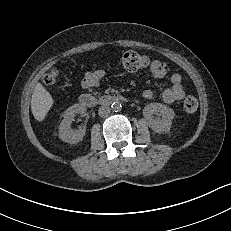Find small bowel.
<instances>
[{"instance_id": "c3829d8e", "label": "small bowel", "mask_w": 231, "mask_h": 231, "mask_svg": "<svg viewBox=\"0 0 231 231\" xmlns=\"http://www.w3.org/2000/svg\"><path fill=\"white\" fill-rule=\"evenodd\" d=\"M150 72L154 81L165 78L168 74L167 65L159 60H153L150 64ZM105 73L103 70L97 69L87 72L81 80V87L84 89L98 87ZM170 86L162 92V100L165 103H173L184 98L185 92L182 86V76L179 73L170 75ZM143 98L152 99L154 93L151 90H145L142 93Z\"/></svg>"}]
</instances>
